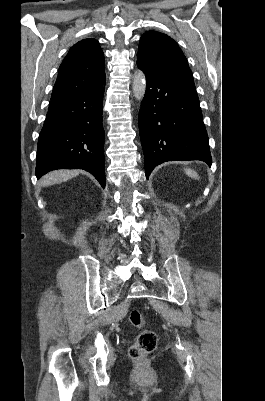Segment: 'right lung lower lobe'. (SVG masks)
Segmentation results:
<instances>
[{
    "mask_svg": "<svg viewBox=\"0 0 265 401\" xmlns=\"http://www.w3.org/2000/svg\"><path fill=\"white\" fill-rule=\"evenodd\" d=\"M104 85L50 101L38 139L37 178L56 169H84L105 187Z\"/></svg>",
    "mask_w": 265,
    "mask_h": 401,
    "instance_id": "98d812e1",
    "label": "right lung lower lobe"
}]
</instances>
